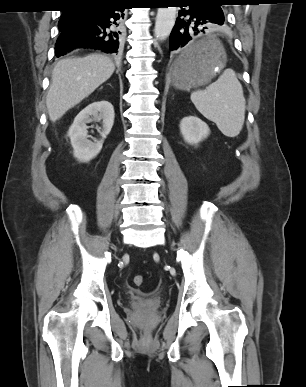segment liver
Masks as SVG:
<instances>
[{"label":"liver","instance_id":"liver-1","mask_svg":"<svg viewBox=\"0 0 306 387\" xmlns=\"http://www.w3.org/2000/svg\"><path fill=\"white\" fill-rule=\"evenodd\" d=\"M113 61L102 54L65 58L55 65L46 98L52 122L93 93L113 74Z\"/></svg>","mask_w":306,"mask_h":387}]
</instances>
